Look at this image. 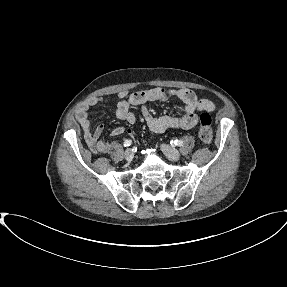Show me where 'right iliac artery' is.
I'll use <instances>...</instances> for the list:
<instances>
[{"label": "right iliac artery", "instance_id": "82829eb1", "mask_svg": "<svg viewBox=\"0 0 287 287\" xmlns=\"http://www.w3.org/2000/svg\"><path fill=\"white\" fill-rule=\"evenodd\" d=\"M132 144V141L131 140H125V142H124V146L125 147H128V146H130Z\"/></svg>", "mask_w": 287, "mask_h": 287}]
</instances>
